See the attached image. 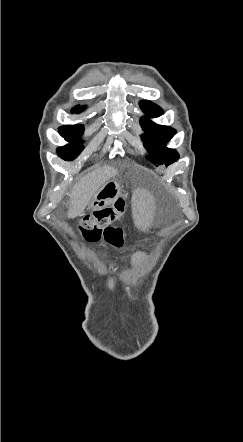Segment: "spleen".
I'll list each match as a JSON object with an SVG mask.
<instances>
[{
    "mask_svg": "<svg viewBox=\"0 0 243 442\" xmlns=\"http://www.w3.org/2000/svg\"><path fill=\"white\" fill-rule=\"evenodd\" d=\"M151 196L148 193H129L128 201L136 202L135 212L137 219H147L145 222L148 224L151 217L150 209H154L155 202L150 200ZM145 229L148 227L146 224L143 226Z\"/></svg>",
    "mask_w": 243,
    "mask_h": 442,
    "instance_id": "3e777b00",
    "label": "spleen"
}]
</instances>
